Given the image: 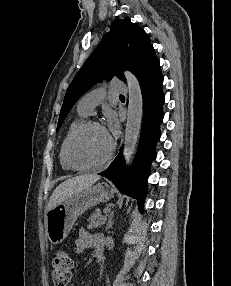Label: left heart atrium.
<instances>
[{"label":"left heart atrium","instance_id":"1","mask_svg":"<svg viewBox=\"0 0 231 286\" xmlns=\"http://www.w3.org/2000/svg\"><path fill=\"white\" fill-rule=\"evenodd\" d=\"M109 129L112 133L116 131V123L114 120L109 121ZM109 134V133H108ZM110 135V134H109Z\"/></svg>","mask_w":231,"mask_h":286}]
</instances>
